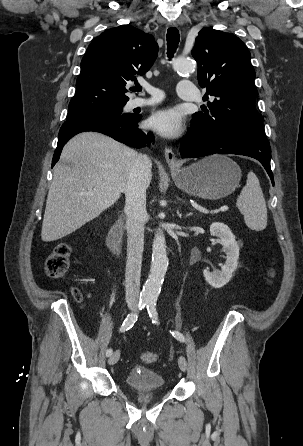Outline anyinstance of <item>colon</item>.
Here are the masks:
<instances>
[{
	"label": "colon",
	"mask_w": 303,
	"mask_h": 446,
	"mask_svg": "<svg viewBox=\"0 0 303 446\" xmlns=\"http://www.w3.org/2000/svg\"><path fill=\"white\" fill-rule=\"evenodd\" d=\"M71 253V246L67 243L56 246L45 260L47 275L51 278L63 277L69 269ZM274 274V269L270 267L267 272L269 280L274 277ZM72 293L76 300H81L82 295L78 289L74 288ZM141 360L146 364H152L157 361V354L152 351H145L141 354Z\"/></svg>",
	"instance_id": "colon-1"
}]
</instances>
